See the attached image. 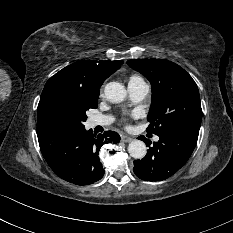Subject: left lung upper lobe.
I'll use <instances>...</instances> for the list:
<instances>
[{"mask_svg": "<svg viewBox=\"0 0 233 233\" xmlns=\"http://www.w3.org/2000/svg\"><path fill=\"white\" fill-rule=\"evenodd\" d=\"M152 85L148 132L164 134L188 122H200L199 91L192 77L179 65L162 59L129 60Z\"/></svg>", "mask_w": 233, "mask_h": 233, "instance_id": "5c2ea615", "label": "left lung upper lobe"}]
</instances>
